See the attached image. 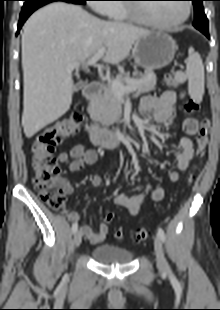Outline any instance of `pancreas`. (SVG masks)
Masks as SVG:
<instances>
[{"label": "pancreas", "instance_id": "pancreas-1", "mask_svg": "<svg viewBox=\"0 0 220 310\" xmlns=\"http://www.w3.org/2000/svg\"><path fill=\"white\" fill-rule=\"evenodd\" d=\"M116 80L127 86L135 84L138 93H147L155 89L157 79L152 71H146L144 74L136 71L132 78H129V74H119ZM88 112L93 121L104 127H109L118 120L122 112L121 104L111 85L104 87L103 93L90 102Z\"/></svg>", "mask_w": 220, "mask_h": 310}]
</instances>
